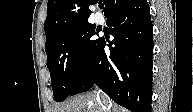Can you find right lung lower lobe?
<instances>
[{"label":"right lung lower lobe","instance_id":"98d812e1","mask_svg":"<svg viewBox=\"0 0 193 112\" xmlns=\"http://www.w3.org/2000/svg\"><path fill=\"white\" fill-rule=\"evenodd\" d=\"M107 23L114 27L110 56L103 39L70 96L97 85L130 111L151 112L153 28L147 1L130 0Z\"/></svg>","mask_w":193,"mask_h":112}]
</instances>
